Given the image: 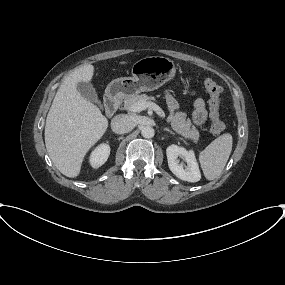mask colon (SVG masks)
<instances>
[{"label": "colon", "mask_w": 285, "mask_h": 285, "mask_svg": "<svg viewBox=\"0 0 285 285\" xmlns=\"http://www.w3.org/2000/svg\"><path fill=\"white\" fill-rule=\"evenodd\" d=\"M204 87L208 92L209 99V117L211 120L210 131L213 135H219L224 130V123L220 115V102L222 89L216 81L211 78L204 79Z\"/></svg>", "instance_id": "colon-1"}]
</instances>
